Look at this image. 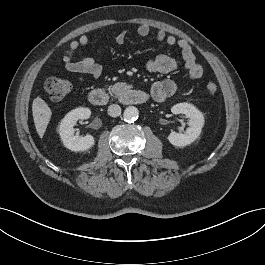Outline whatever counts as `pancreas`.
I'll list each match as a JSON object with an SVG mask.
<instances>
[{
    "mask_svg": "<svg viewBox=\"0 0 265 265\" xmlns=\"http://www.w3.org/2000/svg\"><path fill=\"white\" fill-rule=\"evenodd\" d=\"M126 86L123 83H116L113 86H110V91L116 95L120 94L125 90Z\"/></svg>",
    "mask_w": 265,
    "mask_h": 265,
    "instance_id": "pancreas-1",
    "label": "pancreas"
}]
</instances>
